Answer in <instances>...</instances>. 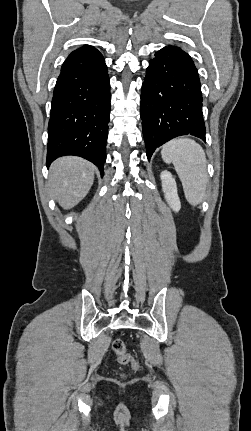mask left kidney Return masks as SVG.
I'll list each match as a JSON object with an SVG mask.
<instances>
[{
  "label": "left kidney",
  "mask_w": 251,
  "mask_h": 431,
  "mask_svg": "<svg viewBox=\"0 0 251 431\" xmlns=\"http://www.w3.org/2000/svg\"><path fill=\"white\" fill-rule=\"evenodd\" d=\"M160 178L167 203L173 211L179 212V210L181 209V203L177 193V185L175 179L169 171H162Z\"/></svg>",
  "instance_id": "left-kidney-1"
}]
</instances>
